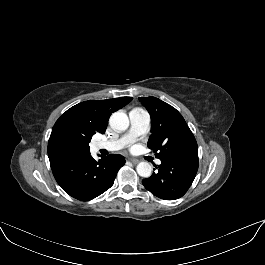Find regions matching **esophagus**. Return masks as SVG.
Here are the masks:
<instances>
[{
    "mask_svg": "<svg viewBox=\"0 0 265 265\" xmlns=\"http://www.w3.org/2000/svg\"><path fill=\"white\" fill-rule=\"evenodd\" d=\"M129 161L133 164H137L139 160L130 158Z\"/></svg>",
    "mask_w": 265,
    "mask_h": 265,
    "instance_id": "obj_1",
    "label": "esophagus"
}]
</instances>
